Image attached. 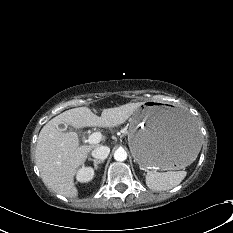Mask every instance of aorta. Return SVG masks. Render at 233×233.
Returning a JSON list of instances; mask_svg holds the SVG:
<instances>
[{"label": "aorta", "instance_id": "aorta-1", "mask_svg": "<svg viewBox=\"0 0 233 233\" xmlns=\"http://www.w3.org/2000/svg\"><path fill=\"white\" fill-rule=\"evenodd\" d=\"M116 161H125L127 159V152L123 148H118L114 153Z\"/></svg>", "mask_w": 233, "mask_h": 233}]
</instances>
